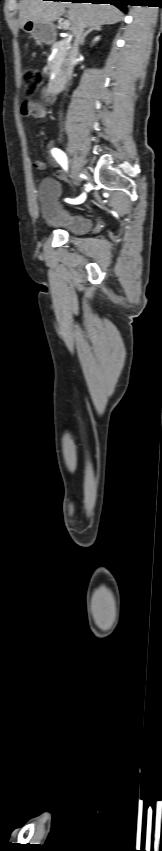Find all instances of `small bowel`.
<instances>
[{"mask_svg":"<svg viewBox=\"0 0 162 851\" xmlns=\"http://www.w3.org/2000/svg\"><path fill=\"white\" fill-rule=\"evenodd\" d=\"M41 93L46 97V101L48 103H52L54 101V97L50 96L52 90L50 87L45 86L42 88ZM21 113L24 117H33L37 119H44L47 116V106L44 103L37 101L26 102L21 106ZM47 163L51 166L55 167L57 165L56 159L53 155L49 154L47 162L43 159L37 158L34 160V167L38 170H43L46 168ZM61 175V173H58Z\"/></svg>","mask_w":162,"mask_h":851,"instance_id":"1","label":"small bowel"}]
</instances>
